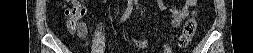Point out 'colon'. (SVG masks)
I'll return each mask as SVG.
<instances>
[{
    "instance_id": "obj_1",
    "label": "colon",
    "mask_w": 253,
    "mask_h": 53,
    "mask_svg": "<svg viewBox=\"0 0 253 53\" xmlns=\"http://www.w3.org/2000/svg\"><path fill=\"white\" fill-rule=\"evenodd\" d=\"M68 22L67 26L70 31H77L82 21V18L86 14V9L82 5V1H74L73 5L66 11ZM197 11H193V15L188 19L184 25L183 31L178 38V46L185 48L193 38L197 30ZM135 46L138 49H144L147 46V43L143 40H136Z\"/></svg>"
}]
</instances>
